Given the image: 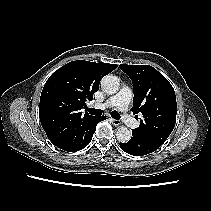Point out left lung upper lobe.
Segmentation results:
<instances>
[{
    "label": "left lung upper lobe",
    "instance_id": "5c2ea615",
    "mask_svg": "<svg viewBox=\"0 0 211 211\" xmlns=\"http://www.w3.org/2000/svg\"><path fill=\"white\" fill-rule=\"evenodd\" d=\"M119 67L132 80L134 99L131 111L143 114L140 126L132 129L138 136L162 145L176 123V96L169 81L149 65H126Z\"/></svg>",
    "mask_w": 211,
    "mask_h": 211
}]
</instances>
